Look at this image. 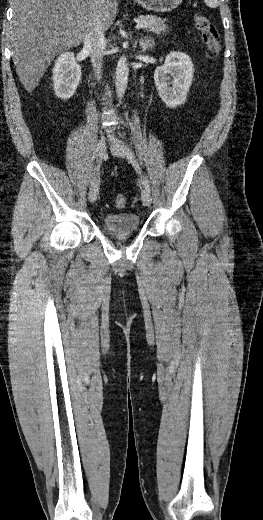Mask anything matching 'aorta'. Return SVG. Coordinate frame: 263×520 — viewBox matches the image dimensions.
Segmentation results:
<instances>
[{
  "label": "aorta",
  "instance_id": "762f6f07",
  "mask_svg": "<svg viewBox=\"0 0 263 520\" xmlns=\"http://www.w3.org/2000/svg\"><path fill=\"white\" fill-rule=\"evenodd\" d=\"M129 68L125 56H121L116 67L115 88L118 97L122 98L125 94L128 83Z\"/></svg>",
  "mask_w": 263,
  "mask_h": 520
}]
</instances>
